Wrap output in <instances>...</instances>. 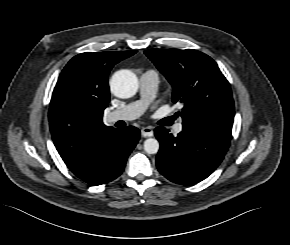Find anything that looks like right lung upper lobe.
Wrapping results in <instances>:
<instances>
[{
    "mask_svg": "<svg viewBox=\"0 0 290 245\" xmlns=\"http://www.w3.org/2000/svg\"><path fill=\"white\" fill-rule=\"evenodd\" d=\"M135 53H82L61 72L50 102L49 125L56 149L67 166L85 159L114 129L102 122L110 100L108 75L116 63Z\"/></svg>",
    "mask_w": 290,
    "mask_h": 245,
    "instance_id": "obj_1",
    "label": "right lung upper lobe"
}]
</instances>
